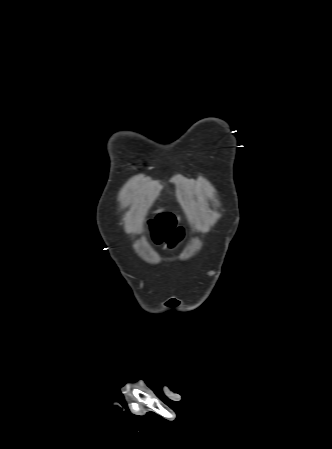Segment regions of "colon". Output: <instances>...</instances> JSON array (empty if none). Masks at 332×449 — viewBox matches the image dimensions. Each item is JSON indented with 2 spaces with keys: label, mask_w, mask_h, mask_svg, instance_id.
<instances>
[{
  "label": "colon",
  "mask_w": 332,
  "mask_h": 449,
  "mask_svg": "<svg viewBox=\"0 0 332 449\" xmlns=\"http://www.w3.org/2000/svg\"><path fill=\"white\" fill-rule=\"evenodd\" d=\"M183 237V229L176 225L171 213H163L153 226V238L156 243H167L170 247L177 244Z\"/></svg>",
  "instance_id": "1"
}]
</instances>
